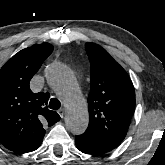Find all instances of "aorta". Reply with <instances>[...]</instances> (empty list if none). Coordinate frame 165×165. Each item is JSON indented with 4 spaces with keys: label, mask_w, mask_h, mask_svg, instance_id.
I'll return each instance as SVG.
<instances>
[{
    "label": "aorta",
    "mask_w": 165,
    "mask_h": 165,
    "mask_svg": "<svg viewBox=\"0 0 165 165\" xmlns=\"http://www.w3.org/2000/svg\"><path fill=\"white\" fill-rule=\"evenodd\" d=\"M46 79L63 99L67 110V129L73 134H82L89 122L88 108L68 70L62 64H53L46 72Z\"/></svg>",
    "instance_id": "1"
}]
</instances>
